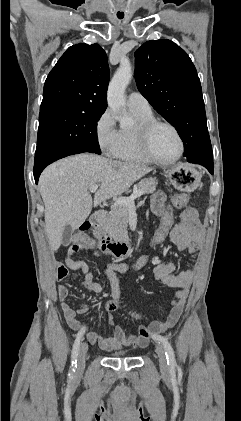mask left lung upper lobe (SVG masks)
I'll list each match as a JSON object with an SVG mask.
<instances>
[{
    "mask_svg": "<svg viewBox=\"0 0 241 421\" xmlns=\"http://www.w3.org/2000/svg\"><path fill=\"white\" fill-rule=\"evenodd\" d=\"M141 94L178 131L187 160H213L200 79L187 53L174 42L150 40L135 52Z\"/></svg>",
    "mask_w": 241,
    "mask_h": 421,
    "instance_id": "1",
    "label": "left lung upper lobe"
}]
</instances>
